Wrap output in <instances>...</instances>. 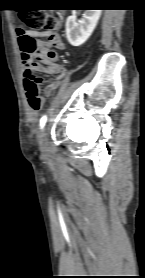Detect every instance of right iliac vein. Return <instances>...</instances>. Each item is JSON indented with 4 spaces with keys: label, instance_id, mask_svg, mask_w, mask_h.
I'll list each match as a JSON object with an SVG mask.
<instances>
[{
    "label": "right iliac vein",
    "instance_id": "right-iliac-vein-1",
    "mask_svg": "<svg viewBox=\"0 0 145 278\" xmlns=\"http://www.w3.org/2000/svg\"><path fill=\"white\" fill-rule=\"evenodd\" d=\"M39 144H40V149L43 152L49 151V145L47 142V129L44 127L42 130L40 136H39Z\"/></svg>",
    "mask_w": 145,
    "mask_h": 278
}]
</instances>
